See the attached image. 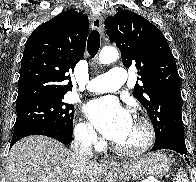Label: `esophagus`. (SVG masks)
<instances>
[{
	"instance_id": "1",
	"label": "esophagus",
	"mask_w": 196,
	"mask_h": 182,
	"mask_svg": "<svg viewBox=\"0 0 196 182\" xmlns=\"http://www.w3.org/2000/svg\"><path fill=\"white\" fill-rule=\"evenodd\" d=\"M91 27L93 30H97L99 32V34L102 36L103 35V18L100 15H94L91 18ZM101 164L104 166H109V167H118V164L106 159V158H102L101 159Z\"/></svg>"
}]
</instances>
